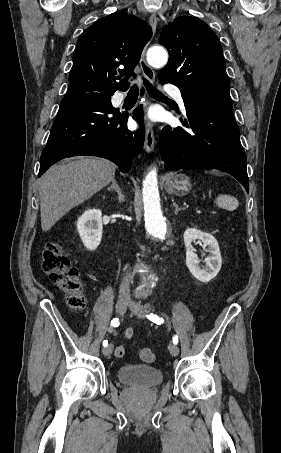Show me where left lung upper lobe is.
<instances>
[{"instance_id":"left-lung-upper-lobe-1","label":"left lung upper lobe","mask_w":281,"mask_h":453,"mask_svg":"<svg viewBox=\"0 0 281 453\" xmlns=\"http://www.w3.org/2000/svg\"><path fill=\"white\" fill-rule=\"evenodd\" d=\"M159 43L169 52L160 81L176 85L185 101L230 100V82L220 41L197 17L179 16L166 25Z\"/></svg>"}]
</instances>
